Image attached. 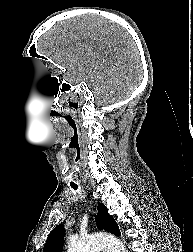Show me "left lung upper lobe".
Masks as SVG:
<instances>
[{
	"label": "left lung upper lobe",
	"instance_id": "5c2ea615",
	"mask_svg": "<svg viewBox=\"0 0 193 252\" xmlns=\"http://www.w3.org/2000/svg\"><path fill=\"white\" fill-rule=\"evenodd\" d=\"M96 220L98 229L108 231L115 235L121 234L117 223L114 218L108 214V210L103 204H98V216ZM64 235V226H56L49 234L43 252H61Z\"/></svg>",
	"mask_w": 193,
	"mask_h": 252
}]
</instances>
